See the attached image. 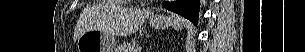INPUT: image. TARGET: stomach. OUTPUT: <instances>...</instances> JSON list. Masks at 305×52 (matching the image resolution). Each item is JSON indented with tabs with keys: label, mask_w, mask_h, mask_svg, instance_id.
Returning a JSON list of instances; mask_svg holds the SVG:
<instances>
[{
	"label": "stomach",
	"mask_w": 305,
	"mask_h": 52,
	"mask_svg": "<svg viewBox=\"0 0 305 52\" xmlns=\"http://www.w3.org/2000/svg\"><path fill=\"white\" fill-rule=\"evenodd\" d=\"M184 21L178 16L155 15L150 20L154 29L164 30L169 26L180 28ZM77 52H115V38L110 33L91 29L77 39Z\"/></svg>",
	"instance_id": "1"
}]
</instances>
